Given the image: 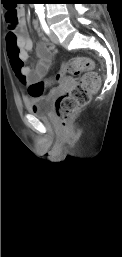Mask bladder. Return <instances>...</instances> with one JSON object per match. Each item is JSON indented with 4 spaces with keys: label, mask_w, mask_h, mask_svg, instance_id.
I'll list each match as a JSON object with an SVG mask.
<instances>
[{
    "label": "bladder",
    "mask_w": 122,
    "mask_h": 257,
    "mask_svg": "<svg viewBox=\"0 0 122 257\" xmlns=\"http://www.w3.org/2000/svg\"><path fill=\"white\" fill-rule=\"evenodd\" d=\"M26 110L37 117H48L52 109L51 97L48 95L33 96L25 101Z\"/></svg>",
    "instance_id": "obj_1"
}]
</instances>
